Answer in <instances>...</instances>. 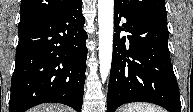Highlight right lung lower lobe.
<instances>
[{"label": "right lung lower lobe", "instance_id": "98d812e1", "mask_svg": "<svg viewBox=\"0 0 193 112\" xmlns=\"http://www.w3.org/2000/svg\"><path fill=\"white\" fill-rule=\"evenodd\" d=\"M81 6L82 0H77L64 11L18 31L9 112H25L48 102L81 111L88 52Z\"/></svg>", "mask_w": 193, "mask_h": 112}]
</instances>
